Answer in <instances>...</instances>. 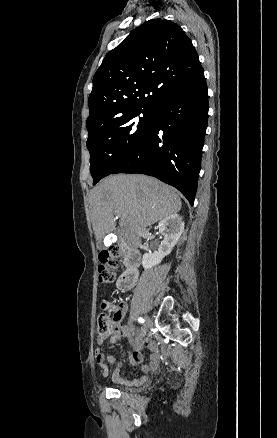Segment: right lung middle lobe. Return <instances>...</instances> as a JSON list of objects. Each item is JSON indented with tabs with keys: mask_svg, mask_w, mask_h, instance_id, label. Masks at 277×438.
<instances>
[{
	"mask_svg": "<svg viewBox=\"0 0 277 438\" xmlns=\"http://www.w3.org/2000/svg\"><path fill=\"white\" fill-rule=\"evenodd\" d=\"M152 114L153 109H144L87 128L89 137L86 145L90 152V172L94 185L113 174L142 142L152 125Z\"/></svg>",
	"mask_w": 277,
	"mask_h": 438,
	"instance_id": "right-lung-middle-lobe-1",
	"label": "right lung middle lobe"
}]
</instances>
